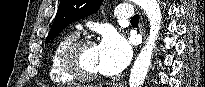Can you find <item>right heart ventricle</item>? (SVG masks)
I'll list each match as a JSON object with an SVG mask.
<instances>
[{
	"instance_id": "1",
	"label": "right heart ventricle",
	"mask_w": 205,
	"mask_h": 87,
	"mask_svg": "<svg viewBox=\"0 0 205 87\" xmlns=\"http://www.w3.org/2000/svg\"><path fill=\"white\" fill-rule=\"evenodd\" d=\"M78 33L71 32L63 35L59 40L56 42L49 64V77L50 80L57 85H67L73 82V78L70 77L61 67L60 64V56L63 49L70 44L71 42L78 39Z\"/></svg>"
}]
</instances>
